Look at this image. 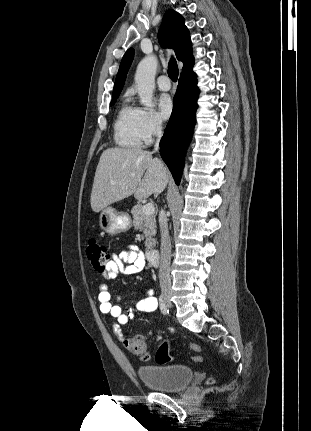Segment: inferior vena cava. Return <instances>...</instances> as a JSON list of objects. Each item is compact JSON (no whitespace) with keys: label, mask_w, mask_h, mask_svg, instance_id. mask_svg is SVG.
Returning a JSON list of instances; mask_svg holds the SVG:
<instances>
[{"label":"inferior vena cava","mask_w":311,"mask_h":431,"mask_svg":"<svg viewBox=\"0 0 311 431\" xmlns=\"http://www.w3.org/2000/svg\"><path fill=\"white\" fill-rule=\"evenodd\" d=\"M156 142L154 144V152L159 150V142L162 138V122H157L156 126ZM151 152V154H154ZM159 225L161 231V245H160V287L163 293L171 291V277H170V261H171V239L168 231L167 221L165 219V212L161 210L159 214Z\"/></svg>","instance_id":"obj_1"}]
</instances>
